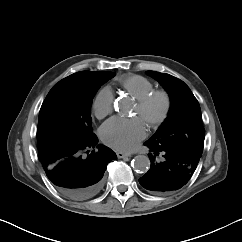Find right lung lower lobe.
<instances>
[{"instance_id": "1", "label": "right lung lower lobe", "mask_w": 242, "mask_h": 242, "mask_svg": "<svg viewBox=\"0 0 242 242\" xmlns=\"http://www.w3.org/2000/svg\"><path fill=\"white\" fill-rule=\"evenodd\" d=\"M96 136L82 143L55 141L38 149L39 159L49 180L65 196L90 199L102 188L107 164L117 159L108 147L97 144Z\"/></svg>"}]
</instances>
